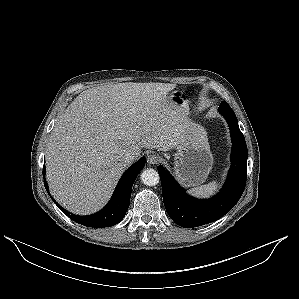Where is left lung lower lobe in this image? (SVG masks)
I'll list each match as a JSON object with an SVG mask.
<instances>
[{"label": "left lung lower lobe", "instance_id": "obj_1", "mask_svg": "<svg viewBox=\"0 0 299 299\" xmlns=\"http://www.w3.org/2000/svg\"><path fill=\"white\" fill-rule=\"evenodd\" d=\"M218 111L225 117L232 139L231 167L221 191L208 200H197L185 193L167 170L158 167L163 201L170 218L184 228L213 222L229 212L240 199L246 184L247 146L234 111L222 102Z\"/></svg>", "mask_w": 299, "mask_h": 299}]
</instances>
